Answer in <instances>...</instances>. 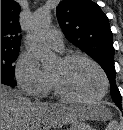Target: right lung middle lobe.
<instances>
[{"instance_id": "dd1d6c3e", "label": "right lung middle lobe", "mask_w": 123, "mask_h": 130, "mask_svg": "<svg viewBox=\"0 0 123 130\" xmlns=\"http://www.w3.org/2000/svg\"><path fill=\"white\" fill-rule=\"evenodd\" d=\"M19 50L1 49V80L6 81L13 86L16 85L13 77V62L18 56Z\"/></svg>"}]
</instances>
